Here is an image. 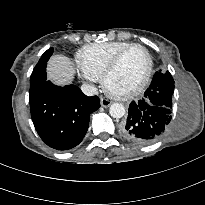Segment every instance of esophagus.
<instances>
[{"mask_svg":"<svg viewBox=\"0 0 205 205\" xmlns=\"http://www.w3.org/2000/svg\"><path fill=\"white\" fill-rule=\"evenodd\" d=\"M100 103L101 106L105 108L111 105V101L103 97L100 99Z\"/></svg>","mask_w":205,"mask_h":205,"instance_id":"esophagus-1","label":"esophagus"}]
</instances>
